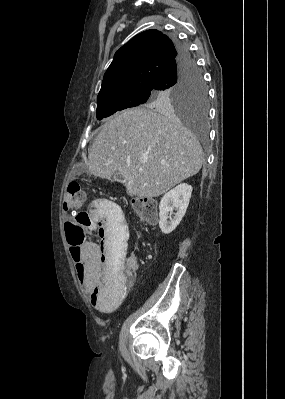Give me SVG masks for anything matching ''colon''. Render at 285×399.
Returning <instances> with one entry per match:
<instances>
[{"mask_svg":"<svg viewBox=\"0 0 285 399\" xmlns=\"http://www.w3.org/2000/svg\"><path fill=\"white\" fill-rule=\"evenodd\" d=\"M84 198L81 186L78 182H71L64 195L63 207L66 211L71 213V218L66 221L64 229L67 236V242L73 254L78 255L80 252V245L86 241L85 226L90 223L91 219L87 212L83 210ZM133 211L146 223H154L158 218L157 202L150 198H143L134 200L131 204ZM115 254L125 252L123 246L116 245ZM77 279L82 277V267L73 269ZM118 277L124 278L128 271L123 268L119 269Z\"/></svg>","mask_w":285,"mask_h":399,"instance_id":"1","label":"colon"}]
</instances>
